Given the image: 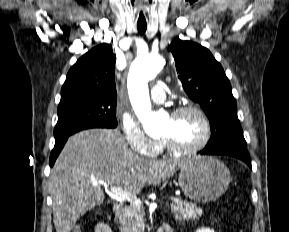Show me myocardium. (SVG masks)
I'll list each match as a JSON object with an SVG mask.
<instances>
[{"label":"myocardium","mask_w":289,"mask_h":232,"mask_svg":"<svg viewBox=\"0 0 289 232\" xmlns=\"http://www.w3.org/2000/svg\"><path fill=\"white\" fill-rule=\"evenodd\" d=\"M187 111L195 112L200 117V119L204 125V135L198 143H196L192 146H180V145H177L176 143H174L173 141H171L170 139L163 137V142H164L165 146L172 153L191 154V153L198 152L201 149H203L209 143V141L211 139V135H212L211 122H210L207 114L205 113V111L201 107H199L195 104L181 105V106L175 108L171 112L170 116L171 117H177L180 114L187 112Z\"/></svg>","instance_id":"myocardium-1"}]
</instances>
